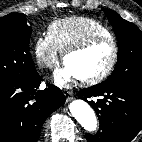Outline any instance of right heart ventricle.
I'll return each instance as SVG.
<instances>
[{"label":"right heart ventricle","mask_w":142,"mask_h":142,"mask_svg":"<svg viewBox=\"0 0 142 142\" xmlns=\"http://www.w3.org/2000/svg\"><path fill=\"white\" fill-rule=\"evenodd\" d=\"M111 35L99 21L85 16H70L50 23L47 35L60 52L90 35Z\"/></svg>","instance_id":"obj_1"}]
</instances>
